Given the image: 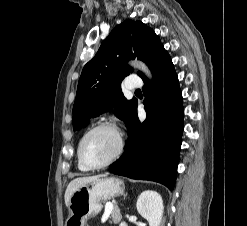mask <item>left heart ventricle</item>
Returning a JSON list of instances; mask_svg holds the SVG:
<instances>
[{
	"instance_id": "1",
	"label": "left heart ventricle",
	"mask_w": 247,
	"mask_h": 226,
	"mask_svg": "<svg viewBox=\"0 0 247 226\" xmlns=\"http://www.w3.org/2000/svg\"><path fill=\"white\" fill-rule=\"evenodd\" d=\"M118 139L109 129H100L91 133L84 141L83 156L90 165L106 162L116 151Z\"/></svg>"
}]
</instances>
